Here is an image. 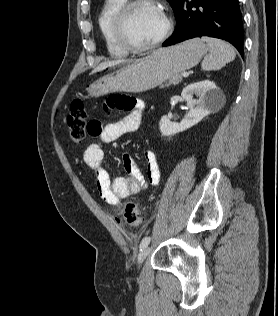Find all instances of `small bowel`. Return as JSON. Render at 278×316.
<instances>
[{
  "label": "small bowel",
  "mask_w": 278,
  "mask_h": 316,
  "mask_svg": "<svg viewBox=\"0 0 278 316\" xmlns=\"http://www.w3.org/2000/svg\"><path fill=\"white\" fill-rule=\"evenodd\" d=\"M110 107L127 111L129 114L123 119L103 126L98 121L93 123L100 127L96 135L102 142H112L121 136L136 131L141 123V115L145 105L141 100L118 96L108 101ZM104 152L97 143H92L84 150L83 161L96 178L98 192L108 204L117 206L122 199L135 195L149 187L156 186L160 180V169L157 157L152 150L144 152L146 174L137 166L135 159L129 153L122 156L125 176L111 177L103 165Z\"/></svg>",
  "instance_id": "obj_1"
}]
</instances>
